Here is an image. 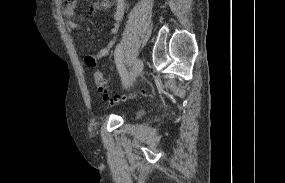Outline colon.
<instances>
[{"label":"colon","instance_id":"obj_1","mask_svg":"<svg viewBox=\"0 0 285 183\" xmlns=\"http://www.w3.org/2000/svg\"><path fill=\"white\" fill-rule=\"evenodd\" d=\"M93 81L96 91L103 97L104 100L109 102L118 101L120 99H127L130 96L113 95L109 90V84L102 72L96 71L93 75Z\"/></svg>","mask_w":285,"mask_h":183}]
</instances>
